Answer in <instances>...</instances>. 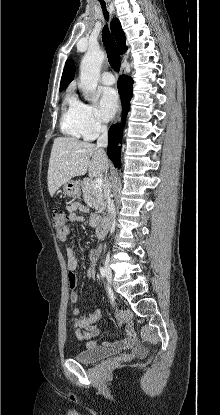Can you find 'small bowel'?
I'll return each mask as SVG.
<instances>
[{
  "instance_id": "1",
  "label": "small bowel",
  "mask_w": 220,
  "mask_h": 415,
  "mask_svg": "<svg viewBox=\"0 0 220 415\" xmlns=\"http://www.w3.org/2000/svg\"><path fill=\"white\" fill-rule=\"evenodd\" d=\"M68 211L70 215V222L71 223H80L85 222L84 217L80 214V212H86V208L77 202L71 203L68 206ZM100 221L98 215H95L92 219L88 220L89 225H97ZM71 232L70 227H66L64 232L61 235H58V238L66 242L68 240V236ZM103 250V244H100L97 249L90 250L88 252V259H89V266L87 269V276L89 278L95 277V266L98 261L99 255ZM65 254L67 258V267H68V281L69 286L71 289V303L74 304V308L72 309V314L74 318L72 319L73 326L76 328L75 334L79 340H90L95 338L99 335V329L96 326V323L101 318V311L99 309L94 310L89 315H82L81 310L78 307L80 302V293L77 289L78 285V277L76 275V270L79 267V257L77 256L76 252L71 248L67 247L65 249ZM121 322L124 323V330H125V337L117 342H104L102 346L110 351H117L123 348H129L133 345L134 342V332L132 326L128 323L127 315L123 312H118L115 315ZM98 346L96 342L89 341L87 343V347H96Z\"/></svg>"
}]
</instances>
